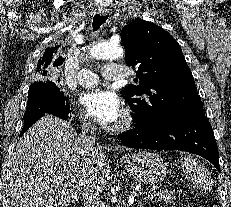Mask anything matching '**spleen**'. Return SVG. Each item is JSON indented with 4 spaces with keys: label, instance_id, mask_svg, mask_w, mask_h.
<instances>
[{
    "label": "spleen",
    "instance_id": "obj_1",
    "mask_svg": "<svg viewBox=\"0 0 231 207\" xmlns=\"http://www.w3.org/2000/svg\"><path fill=\"white\" fill-rule=\"evenodd\" d=\"M181 166L186 177L201 190H210L214 185L208 170L190 155L180 158Z\"/></svg>",
    "mask_w": 231,
    "mask_h": 207
}]
</instances>
